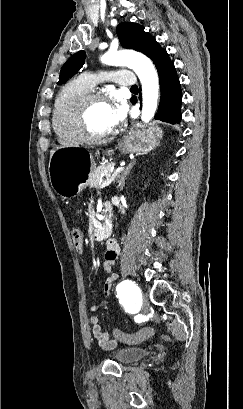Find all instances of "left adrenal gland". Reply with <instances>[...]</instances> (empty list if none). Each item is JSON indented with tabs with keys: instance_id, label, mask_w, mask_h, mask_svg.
<instances>
[{
	"instance_id": "left-adrenal-gland-1",
	"label": "left adrenal gland",
	"mask_w": 243,
	"mask_h": 409,
	"mask_svg": "<svg viewBox=\"0 0 243 409\" xmlns=\"http://www.w3.org/2000/svg\"><path fill=\"white\" fill-rule=\"evenodd\" d=\"M135 161H133L132 163H130L126 169L124 170L123 175L121 176V178L118 180V188L120 191L123 190L124 186H125V178L126 176H128V174L130 173L131 169L133 168V166L135 165Z\"/></svg>"
}]
</instances>
